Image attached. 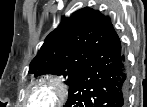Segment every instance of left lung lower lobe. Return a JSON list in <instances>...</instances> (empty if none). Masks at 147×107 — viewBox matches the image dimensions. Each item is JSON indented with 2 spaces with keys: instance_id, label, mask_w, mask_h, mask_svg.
Here are the masks:
<instances>
[{
  "instance_id": "left-lung-lower-lobe-1",
  "label": "left lung lower lobe",
  "mask_w": 147,
  "mask_h": 107,
  "mask_svg": "<svg viewBox=\"0 0 147 107\" xmlns=\"http://www.w3.org/2000/svg\"><path fill=\"white\" fill-rule=\"evenodd\" d=\"M125 57L114 28L69 85L64 107H125Z\"/></svg>"
}]
</instances>
